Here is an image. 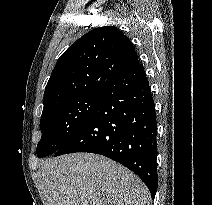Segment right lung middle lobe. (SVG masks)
Segmentation results:
<instances>
[{"mask_svg": "<svg viewBox=\"0 0 212 205\" xmlns=\"http://www.w3.org/2000/svg\"><path fill=\"white\" fill-rule=\"evenodd\" d=\"M101 100V92L84 94L64 101L42 113L41 140L37 156L42 158L57 152L78 130Z\"/></svg>", "mask_w": 212, "mask_h": 205, "instance_id": "dd1d6c3e", "label": "right lung middle lobe"}]
</instances>
